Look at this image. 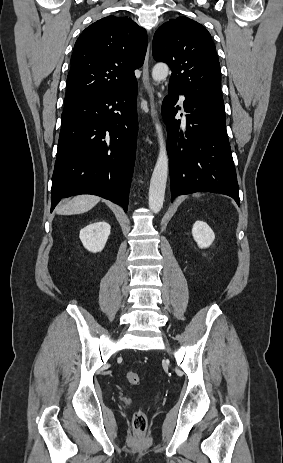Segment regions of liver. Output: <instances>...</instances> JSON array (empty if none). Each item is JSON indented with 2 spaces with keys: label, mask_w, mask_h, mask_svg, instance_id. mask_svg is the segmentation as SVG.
Listing matches in <instances>:
<instances>
[{
  "label": "liver",
  "mask_w": 283,
  "mask_h": 463,
  "mask_svg": "<svg viewBox=\"0 0 283 463\" xmlns=\"http://www.w3.org/2000/svg\"><path fill=\"white\" fill-rule=\"evenodd\" d=\"M100 198L94 195H78L65 204L60 205L56 213L59 215L81 214L92 209Z\"/></svg>",
  "instance_id": "obj_1"
}]
</instances>
